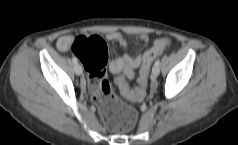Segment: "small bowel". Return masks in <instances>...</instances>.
I'll use <instances>...</instances> for the list:
<instances>
[{
    "label": "small bowel",
    "mask_w": 238,
    "mask_h": 145,
    "mask_svg": "<svg viewBox=\"0 0 238 145\" xmlns=\"http://www.w3.org/2000/svg\"><path fill=\"white\" fill-rule=\"evenodd\" d=\"M74 35H64L58 39L57 47L60 51H68L71 49V40L74 38ZM106 38L110 41L118 42L121 46L126 47V41L122 33L118 31L109 32L106 35ZM135 38L138 41L143 42L147 45L150 42V38L146 34H136ZM166 39V38H162ZM168 43L165 45L166 48L170 46V41L166 39ZM142 62V56L131 57L129 55H123L118 59L112 60L109 64V69L113 73L123 72L126 77L133 78L134 71L137 67L140 66Z\"/></svg>",
    "instance_id": "small-bowel-1"
}]
</instances>
